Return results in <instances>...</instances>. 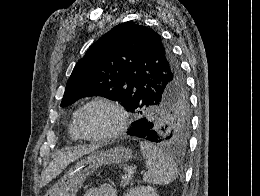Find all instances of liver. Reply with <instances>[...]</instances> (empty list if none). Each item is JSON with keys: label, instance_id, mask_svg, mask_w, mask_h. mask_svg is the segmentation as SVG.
Wrapping results in <instances>:
<instances>
[{"label": "liver", "instance_id": "liver-1", "mask_svg": "<svg viewBox=\"0 0 260 196\" xmlns=\"http://www.w3.org/2000/svg\"><path fill=\"white\" fill-rule=\"evenodd\" d=\"M101 146H78L77 150H69V152H63L56 156L52 162H50L46 172L42 174L41 188L46 186L49 182H52L53 178L59 176L60 172H63L71 162L79 160L82 156L86 154H91V152H96Z\"/></svg>", "mask_w": 260, "mask_h": 196}]
</instances>
